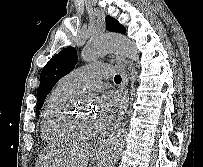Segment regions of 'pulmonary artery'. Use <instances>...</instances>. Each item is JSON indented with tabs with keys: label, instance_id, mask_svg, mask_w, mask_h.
I'll return each instance as SVG.
<instances>
[{
	"label": "pulmonary artery",
	"instance_id": "e3ab8cb5",
	"mask_svg": "<svg viewBox=\"0 0 203 167\" xmlns=\"http://www.w3.org/2000/svg\"><path fill=\"white\" fill-rule=\"evenodd\" d=\"M113 72L114 67L108 64L87 65L71 71L61 79V82L74 89H93Z\"/></svg>",
	"mask_w": 203,
	"mask_h": 167
}]
</instances>
